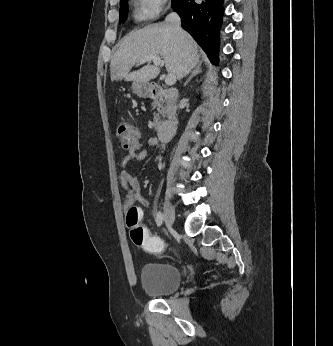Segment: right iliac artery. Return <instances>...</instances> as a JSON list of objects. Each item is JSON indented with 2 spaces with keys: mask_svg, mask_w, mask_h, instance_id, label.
Segmentation results:
<instances>
[{
  "mask_svg": "<svg viewBox=\"0 0 333 346\" xmlns=\"http://www.w3.org/2000/svg\"><path fill=\"white\" fill-rule=\"evenodd\" d=\"M162 223H163V214L161 212H158L156 216V224L157 226H161Z\"/></svg>",
  "mask_w": 333,
  "mask_h": 346,
  "instance_id": "right-iliac-artery-1",
  "label": "right iliac artery"
}]
</instances>
